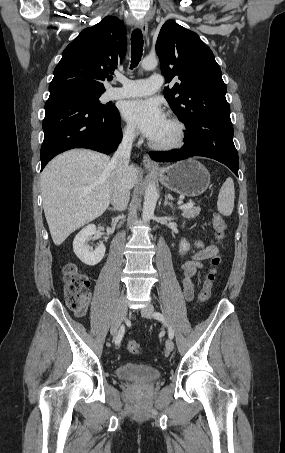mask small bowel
<instances>
[{
	"label": "small bowel",
	"instance_id": "small-bowel-1",
	"mask_svg": "<svg viewBox=\"0 0 285 453\" xmlns=\"http://www.w3.org/2000/svg\"><path fill=\"white\" fill-rule=\"evenodd\" d=\"M196 252L192 257L180 266L181 286L183 295L187 301H191L195 294L193 278L203 268V261L218 254L219 249L215 245H205L201 240L195 241Z\"/></svg>",
	"mask_w": 285,
	"mask_h": 453
}]
</instances>
